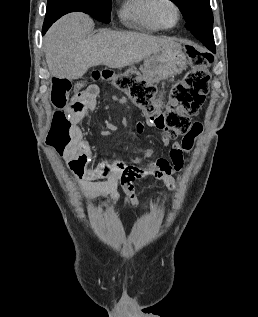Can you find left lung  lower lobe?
<instances>
[{
  "label": "left lung lower lobe",
  "instance_id": "1",
  "mask_svg": "<svg viewBox=\"0 0 258 317\" xmlns=\"http://www.w3.org/2000/svg\"><path fill=\"white\" fill-rule=\"evenodd\" d=\"M193 35L198 40H200L210 51L215 53V44L212 31H198L195 32Z\"/></svg>",
  "mask_w": 258,
  "mask_h": 317
}]
</instances>
